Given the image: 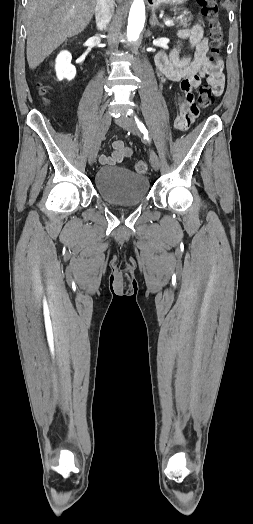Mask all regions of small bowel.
Segmentation results:
<instances>
[{"mask_svg":"<svg viewBox=\"0 0 253 524\" xmlns=\"http://www.w3.org/2000/svg\"><path fill=\"white\" fill-rule=\"evenodd\" d=\"M178 41L169 54L160 52L155 59L156 74L161 82L166 80L180 82L182 99L176 106L181 115L175 119L174 126L178 130H185L194 125L202 111L201 104L197 101V89L202 78L207 76V82L215 96L224 92L225 79L220 61L215 63L208 59V39L204 34L201 24H195L190 29L178 33ZM188 40L193 49L192 56H181L182 41ZM113 151L110 155H101L99 162L102 165H116L125 157L132 154L121 140L112 143Z\"/></svg>","mask_w":253,"mask_h":524,"instance_id":"1","label":"small bowel"}]
</instances>
